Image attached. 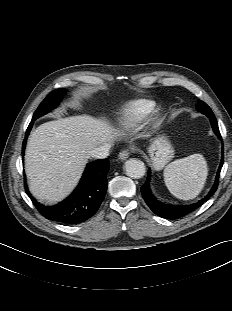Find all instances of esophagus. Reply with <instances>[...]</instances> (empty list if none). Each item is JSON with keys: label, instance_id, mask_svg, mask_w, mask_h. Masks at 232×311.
Returning <instances> with one entry per match:
<instances>
[{"label": "esophagus", "instance_id": "1", "mask_svg": "<svg viewBox=\"0 0 232 311\" xmlns=\"http://www.w3.org/2000/svg\"><path fill=\"white\" fill-rule=\"evenodd\" d=\"M129 154H130L129 150L128 149H124V150H122L119 153L118 158L120 160H126L129 157Z\"/></svg>", "mask_w": 232, "mask_h": 311}]
</instances>
